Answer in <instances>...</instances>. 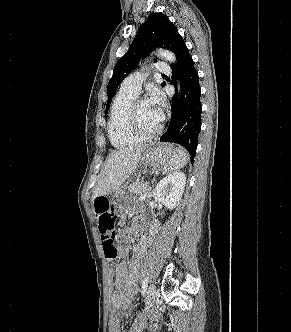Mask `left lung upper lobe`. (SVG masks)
I'll return each instance as SVG.
<instances>
[{
    "instance_id": "left-lung-upper-lobe-1",
    "label": "left lung upper lobe",
    "mask_w": 291,
    "mask_h": 332,
    "mask_svg": "<svg viewBox=\"0 0 291 332\" xmlns=\"http://www.w3.org/2000/svg\"><path fill=\"white\" fill-rule=\"evenodd\" d=\"M155 47L173 51L177 60L186 47L176 26L162 13H151L148 16L147 20L140 26L128 52L116 63L113 76L107 87L106 114L120 83L137 67L141 58L149 56ZM164 85L165 83L161 84V86Z\"/></svg>"
}]
</instances>
